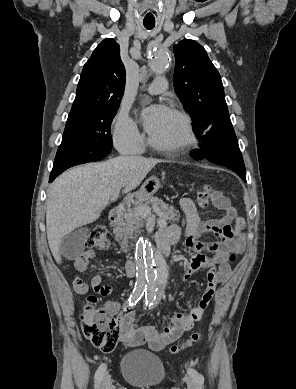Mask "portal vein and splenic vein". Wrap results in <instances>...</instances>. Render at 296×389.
I'll return each instance as SVG.
<instances>
[{"label":"portal vein and splenic vein","mask_w":296,"mask_h":389,"mask_svg":"<svg viewBox=\"0 0 296 389\" xmlns=\"http://www.w3.org/2000/svg\"><path fill=\"white\" fill-rule=\"evenodd\" d=\"M119 196V192L117 191L115 194H113L112 198H111V201H115ZM139 213L141 216L143 217H148L151 215V209L149 207H146V206H142L139 208ZM158 223L161 225V226H166L167 225V222L164 218H160L158 220Z\"/></svg>","instance_id":"1"}]
</instances>
